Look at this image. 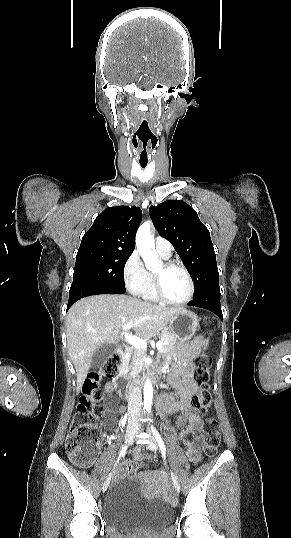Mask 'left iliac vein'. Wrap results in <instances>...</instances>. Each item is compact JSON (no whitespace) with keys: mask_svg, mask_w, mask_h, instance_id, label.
<instances>
[{"mask_svg":"<svg viewBox=\"0 0 291 538\" xmlns=\"http://www.w3.org/2000/svg\"><path fill=\"white\" fill-rule=\"evenodd\" d=\"M146 446H147V448L149 450H152V451H157L158 450V445L156 443V440L153 437H150V442ZM172 479H173V484H174V487H175L176 491L179 492L180 491V485H179L177 477L173 473H172Z\"/></svg>","mask_w":291,"mask_h":538,"instance_id":"obj_1","label":"left iliac vein"}]
</instances>
